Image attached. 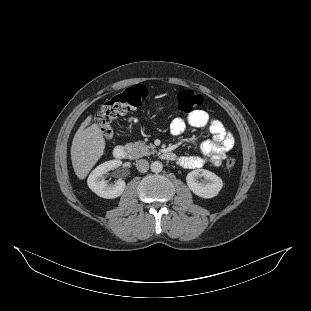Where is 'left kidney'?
<instances>
[{"mask_svg":"<svg viewBox=\"0 0 311 311\" xmlns=\"http://www.w3.org/2000/svg\"><path fill=\"white\" fill-rule=\"evenodd\" d=\"M199 177H204L205 181L198 182ZM186 182L194 194L203 198L216 196L223 187L222 179L205 169H196L189 172L186 176Z\"/></svg>","mask_w":311,"mask_h":311,"instance_id":"1","label":"left kidney"}]
</instances>
